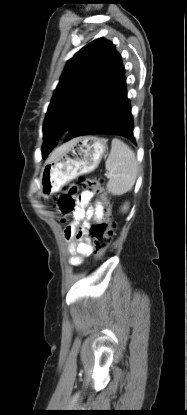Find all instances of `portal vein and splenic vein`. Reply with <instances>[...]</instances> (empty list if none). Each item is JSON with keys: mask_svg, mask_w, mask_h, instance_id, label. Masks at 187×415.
<instances>
[{"mask_svg": "<svg viewBox=\"0 0 187 415\" xmlns=\"http://www.w3.org/2000/svg\"><path fill=\"white\" fill-rule=\"evenodd\" d=\"M105 176L107 177V178H110L111 176H110V174H105Z\"/></svg>", "mask_w": 187, "mask_h": 415, "instance_id": "1", "label": "portal vein and splenic vein"}]
</instances>
